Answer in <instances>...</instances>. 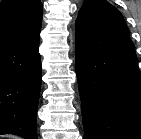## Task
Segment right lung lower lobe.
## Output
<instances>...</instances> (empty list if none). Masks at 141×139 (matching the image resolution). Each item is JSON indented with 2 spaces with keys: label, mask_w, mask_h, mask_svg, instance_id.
I'll list each match as a JSON object with an SVG mask.
<instances>
[{
  "label": "right lung lower lobe",
  "mask_w": 141,
  "mask_h": 139,
  "mask_svg": "<svg viewBox=\"0 0 141 139\" xmlns=\"http://www.w3.org/2000/svg\"><path fill=\"white\" fill-rule=\"evenodd\" d=\"M39 38L0 48V134L37 139L42 77Z\"/></svg>",
  "instance_id": "obj_1"
}]
</instances>
